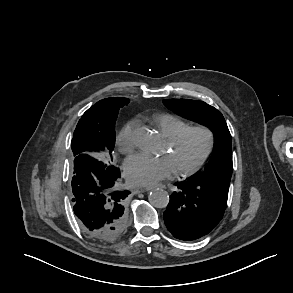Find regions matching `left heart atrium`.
Masks as SVG:
<instances>
[{
    "label": "left heart atrium",
    "instance_id": "1",
    "mask_svg": "<svg viewBox=\"0 0 293 293\" xmlns=\"http://www.w3.org/2000/svg\"><path fill=\"white\" fill-rule=\"evenodd\" d=\"M126 175L137 185L153 186L168 179L176 172L169 156H153L146 153L133 155L126 161Z\"/></svg>",
    "mask_w": 293,
    "mask_h": 293
}]
</instances>
